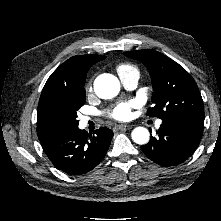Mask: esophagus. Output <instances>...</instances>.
Masks as SVG:
<instances>
[{
    "instance_id": "esophagus-1",
    "label": "esophagus",
    "mask_w": 221,
    "mask_h": 221,
    "mask_svg": "<svg viewBox=\"0 0 221 221\" xmlns=\"http://www.w3.org/2000/svg\"><path fill=\"white\" fill-rule=\"evenodd\" d=\"M130 127H131L130 125L120 124V125H116L114 127V130H125V129H128Z\"/></svg>"
}]
</instances>
